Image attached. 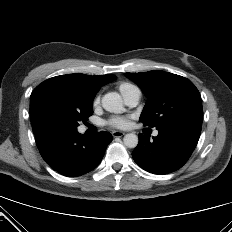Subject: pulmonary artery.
<instances>
[{
	"label": "pulmonary artery",
	"instance_id": "1",
	"mask_svg": "<svg viewBox=\"0 0 232 232\" xmlns=\"http://www.w3.org/2000/svg\"><path fill=\"white\" fill-rule=\"evenodd\" d=\"M141 98V92L140 90H136L135 92H133L131 95L127 96L125 99V102L127 105L131 106V107H134L138 104L139 100ZM153 135L154 136H157L158 135V131L155 130L153 132Z\"/></svg>",
	"mask_w": 232,
	"mask_h": 232
}]
</instances>
